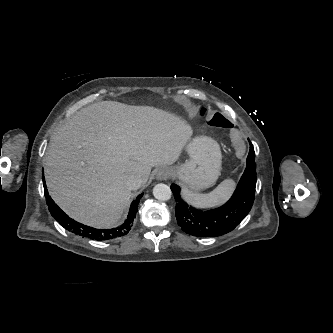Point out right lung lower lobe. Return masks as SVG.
<instances>
[{
	"label": "right lung lower lobe",
	"instance_id": "1",
	"mask_svg": "<svg viewBox=\"0 0 333 333\" xmlns=\"http://www.w3.org/2000/svg\"><path fill=\"white\" fill-rule=\"evenodd\" d=\"M44 179V177H43ZM44 188H45V197L46 202L49 208V211L51 215L55 218L56 221L59 222L61 226H63L66 230L75 233L77 235L88 237L93 240L103 241V240H109L116 237L124 236L126 235L132 225L133 220L136 217L138 204L140 201V198L143 196V193L140 194L136 200H134L131 204V208L128 214L127 219L125 222L120 225L119 227L112 228V229H95L86 225H83L81 223H78L77 221L71 219L68 217L52 200V198L49 196L46 184L44 180Z\"/></svg>",
	"mask_w": 333,
	"mask_h": 333
}]
</instances>
